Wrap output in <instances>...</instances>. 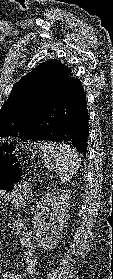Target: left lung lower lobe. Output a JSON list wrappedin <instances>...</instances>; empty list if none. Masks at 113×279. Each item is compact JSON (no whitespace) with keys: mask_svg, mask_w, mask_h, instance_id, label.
I'll list each match as a JSON object with an SVG mask.
<instances>
[{"mask_svg":"<svg viewBox=\"0 0 113 279\" xmlns=\"http://www.w3.org/2000/svg\"><path fill=\"white\" fill-rule=\"evenodd\" d=\"M89 134L86 94L66 69L49 94L34 108L18 138L70 145L86 156Z\"/></svg>","mask_w":113,"mask_h":279,"instance_id":"obj_1","label":"left lung lower lobe"}]
</instances>
